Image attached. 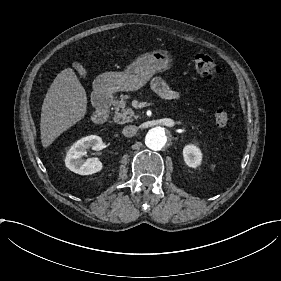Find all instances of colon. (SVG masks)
<instances>
[{"instance_id": "colon-1", "label": "colon", "mask_w": 281, "mask_h": 281, "mask_svg": "<svg viewBox=\"0 0 281 281\" xmlns=\"http://www.w3.org/2000/svg\"><path fill=\"white\" fill-rule=\"evenodd\" d=\"M191 60L198 73L208 81H217L222 76V70L207 54H193ZM230 119L229 108L226 104L219 105L214 112V124L218 128L228 125Z\"/></svg>"}]
</instances>
